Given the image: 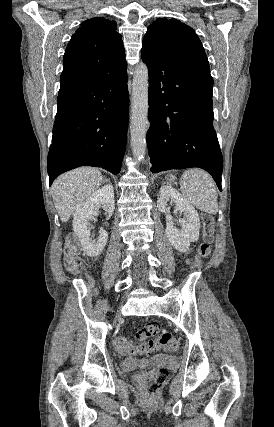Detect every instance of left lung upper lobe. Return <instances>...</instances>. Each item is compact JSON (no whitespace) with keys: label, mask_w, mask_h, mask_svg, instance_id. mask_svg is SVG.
Returning <instances> with one entry per match:
<instances>
[{"label":"left lung upper lobe","mask_w":274,"mask_h":427,"mask_svg":"<svg viewBox=\"0 0 274 427\" xmlns=\"http://www.w3.org/2000/svg\"><path fill=\"white\" fill-rule=\"evenodd\" d=\"M143 45L193 72L210 75L207 56L195 31L176 19L159 18L147 28Z\"/></svg>","instance_id":"left-lung-upper-lobe-1"}]
</instances>
